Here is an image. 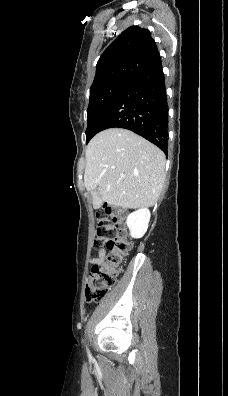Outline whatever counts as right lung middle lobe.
Returning a JSON list of instances; mask_svg holds the SVG:
<instances>
[{
  "label": "right lung middle lobe",
  "instance_id": "obj_1",
  "mask_svg": "<svg viewBox=\"0 0 228 396\" xmlns=\"http://www.w3.org/2000/svg\"><path fill=\"white\" fill-rule=\"evenodd\" d=\"M129 85L124 82H112L90 90L88 106V126L86 129V142L96 134V125L101 116Z\"/></svg>",
  "mask_w": 228,
  "mask_h": 396
}]
</instances>
